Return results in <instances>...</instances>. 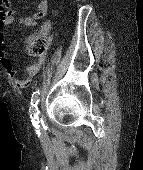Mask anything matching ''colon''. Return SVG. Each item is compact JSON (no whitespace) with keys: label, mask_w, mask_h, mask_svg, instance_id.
Masks as SVG:
<instances>
[{"label":"colon","mask_w":143,"mask_h":170,"mask_svg":"<svg viewBox=\"0 0 143 170\" xmlns=\"http://www.w3.org/2000/svg\"><path fill=\"white\" fill-rule=\"evenodd\" d=\"M8 0H0V21L5 19L8 14ZM49 46V39L44 35H35L29 37L27 49L32 56H41Z\"/></svg>","instance_id":"5ec220e1"}]
</instances>
